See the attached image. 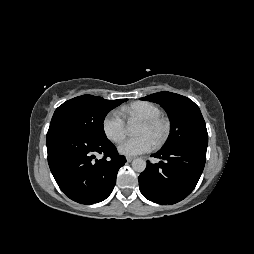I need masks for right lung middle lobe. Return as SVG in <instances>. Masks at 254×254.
Listing matches in <instances>:
<instances>
[{
	"instance_id": "1",
	"label": "right lung middle lobe",
	"mask_w": 254,
	"mask_h": 254,
	"mask_svg": "<svg viewBox=\"0 0 254 254\" xmlns=\"http://www.w3.org/2000/svg\"><path fill=\"white\" fill-rule=\"evenodd\" d=\"M126 100L112 101L92 95L75 97L56 109L50 126H66L95 138H106L103 128L105 116Z\"/></svg>"
}]
</instances>
